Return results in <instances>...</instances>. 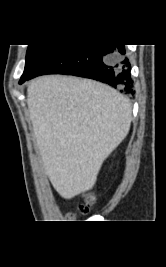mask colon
<instances>
[{"mask_svg":"<svg viewBox=\"0 0 166 267\" xmlns=\"http://www.w3.org/2000/svg\"><path fill=\"white\" fill-rule=\"evenodd\" d=\"M95 197L93 194L88 193L85 196V203L79 206V212L81 214H87L89 212L90 206L94 203ZM75 214H70V217H74Z\"/></svg>","mask_w":166,"mask_h":267,"instance_id":"colon-1","label":"colon"}]
</instances>
